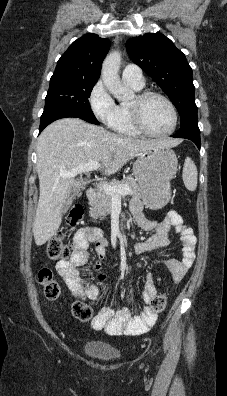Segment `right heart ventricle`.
I'll return each instance as SVG.
<instances>
[{
	"mask_svg": "<svg viewBox=\"0 0 227 396\" xmlns=\"http://www.w3.org/2000/svg\"><path fill=\"white\" fill-rule=\"evenodd\" d=\"M128 85L133 88L135 91L142 90L143 86H137L135 84L128 83ZM108 126L114 132L126 135V136H140L141 132H139L135 126L133 125L129 104L128 103H119L116 105V110L108 123Z\"/></svg>",
	"mask_w": 227,
	"mask_h": 396,
	"instance_id": "1",
	"label": "right heart ventricle"
}]
</instances>
